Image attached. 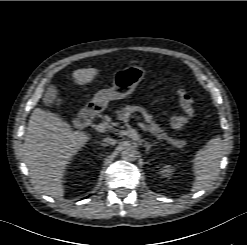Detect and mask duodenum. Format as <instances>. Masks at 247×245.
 I'll return each mask as SVG.
<instances>
[{"mask_svg": "<svg viewBox=\"0 0 247 245\" xmlns=\"http://www.w3.org/2000/svg\"><path fill=\"white\" fill-rule=\"evenodd\" d=\"M96 114V110L94 107H88L83 109L79 114V119L81 123L85 126L91 124Z\"/></svg>", "mask_w": 247, "mask_h": 245, "instance_id": "410a0bca", "label": "duodenum"}]
</instances>
